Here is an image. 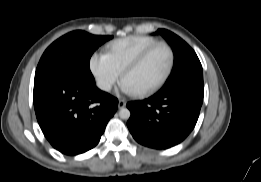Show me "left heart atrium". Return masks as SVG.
Segmentation results:
<instances>
[{
    "label": "left heart atrium",
    "mask_w": 261,
    "mask_h": 182,
    "mask_svg": "<svg viewBox=\"0 0 261 182\" xmlns=\"http://www.w3.org/2000/svg\"><path fill=\"white\" fill-rule=\"evenodd\" d=\"M122 90L126 93H134L135 91L127 84V83H123L122 85Z\"/></svg>",
    "instance_id": "39dd6f15"
}]
</instances>
